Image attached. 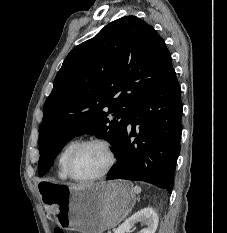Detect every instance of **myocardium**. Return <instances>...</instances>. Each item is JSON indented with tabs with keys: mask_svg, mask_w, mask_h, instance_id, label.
Listing matches in <instances>:
<instances>
[{
	"mask_svg": "<svg viewBox=\"0 0 227 233\" xmlns=\"http://www.w3.org/2000/svg\"><path fill=\"white\" fill-rule=\"evenodd\" d=\"M87 145L101 146L107 154L108 162H107L106 167L99 174L91 176V177H87V178H79L73 174L72 168H71V162H72V158L75 155V153L78 150H80L82 147L87 146ZM115 163H116V155H115V151L112 145L105 139L90 138V139L77 142V144L69 151L66 157L65 169H66V173L69 179L76 181V182L86 183V182L97 181V180L104 178L112 170Z\"/></svg>",
	"mask_w": 227,
	"mask_h": 233,
	"instance_id": "myocardium-1",
	"label": "myocardium"
}]
</instances>
